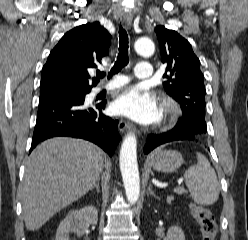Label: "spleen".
<instances>
[{
  "mask_svg": "<svg viewBox=\"0 0 248 240\" xmlns=\"http://www.w3.org/2000/svg\"><path fill=\"white\" fill-rule=\"evenodd\" d=\"M196 155L197 164L189 167L184 174L185 184L195 203L212 205L220 194L218 179L208 159L201 153Z\"/></svg>",
  "mask_w": 248,
  "mask_h": 240,
  "instance_id": "1",
  "label": "spleen"
}]
</instances>
